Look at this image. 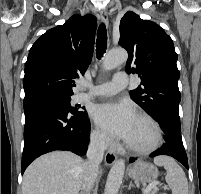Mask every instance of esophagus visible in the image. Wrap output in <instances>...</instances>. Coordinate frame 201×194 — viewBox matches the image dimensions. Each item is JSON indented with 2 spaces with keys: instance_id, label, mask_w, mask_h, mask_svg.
I'll return each instance as SVG.
<instances>
[{
  "instance_id": "obj_1",
  "label": "esophagus",
  "mask_w": 201,
  "mask_h": 194,
  "mask_svg": "<svg viewBox=\"0 0 201 194\" xmlns=\"http://www.w3.org/2000/svg\"><path fill=\"white\" fill-rule=\"evenodd\" d=\"M99 16H100V19L105 24V26L108 28V22L109 21H108V12H107V10L106 9H102L100 11V15ZM116 159H117V156L114 153H112L110 151H108V152L105 153V160L104 161H105V164L107 166L113 165L115 163Z\"/></svg>"
}]
</instances>
